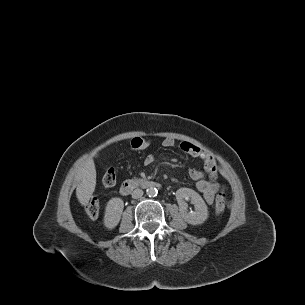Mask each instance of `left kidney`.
<instances>
[{
    "instance_id": "left-kidney-1",
    "label": "left kidney",
    "mask_w": 305,
    "mask_h": 305,
    "mask_svg": "<svg viewBox=\"0 0 305 305\" xmlns=\"http://www.w3.org/2000/svg\"><path fill=\"white\" fill-rule=\"evenodd\" d=\"M176 199L179 205V211L182 218L191 225H200L208 218V207L203 198L190 188H180L176 191ZM185 200H191L194 204L195 211L188 212V204Z\"/></svg>"
}]
</instances>
